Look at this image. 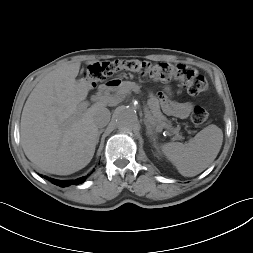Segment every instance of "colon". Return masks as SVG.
Wrapping results in <instances>:
<instances>
[{"label": "colon", "mask_w": 253, "mask_h": 253, "mask_svg": "<svg viewBox=\"0 0 253 253\" xmlns=\"http://www.w3.org/2000/svg\"><path fill=\"white\" fill-rule=\"evenodd\" d=\"M120 71H132L143 77L161 81H180L190 95H199L208 89L207 79L194 68L171 63H151L145 60L127 59L97 62L87 69V78L91 83L105 80ZM208 118L207 111L195 106L191 113V121L195 125L203 124Z\"/></svg>", "instance_id": "1"}]
</instances>
